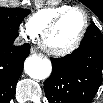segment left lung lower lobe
I'll return each mask as SVG.
<instances>
[{
  "label": "left lung lower lobe",
  "mask_w": 103,
  "mask_h": 103,
  "mask_svg": "<svg viewBox=\"0 0 103 103\" xmlns=\"http://www.w3.org/2000/svg\"><path fill=\"white\" fill-rule=\"evenodd\" d=\"M52 74L44 83L49 103H90L103 78V35L94 23L78 49L51 58Z\"/></svg>",
  "instance_id": "left-lung-lower-lobe-1"
}]
</instances>
